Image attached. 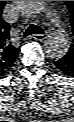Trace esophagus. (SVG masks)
I'll return each mask as SVG.
<instances>
[{
	"label": "esophagus",
	"mask_w": 74,
	"mask_h": 122,
	"mask_svg": "<svg viewBox=\"0 0 74 122\" xmlns=\"http://www.w3.org/2000/svg\"><path fill=\"white\" fill-rule=\"evenodd\" d=\"M33 38L38 41H43L47 38V34H35Z\"/></svg>",
	"instance_id": "1"
}]
</instances>
